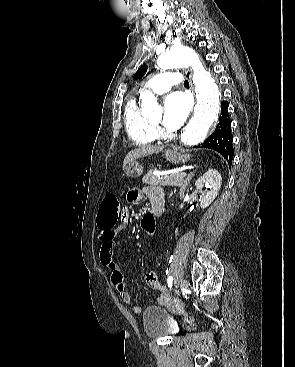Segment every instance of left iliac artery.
<instances>
[{"label": "left iliac artery", "instance_id": "44dca946", "mask_svg": "<svg viewBox=\"0 0 295 367\" xmlns=\"http://www.w3.org/2000/svg\"><path fill=\"white\" fill-rule=\"evenodd\" d=\"M167 283H168L169 288L171 289V287H172V283H173V277H172V276H169V277H168V279H167Z\"/></svg>", "mask_w": 295, "mask_h": 367}]
</instances>
